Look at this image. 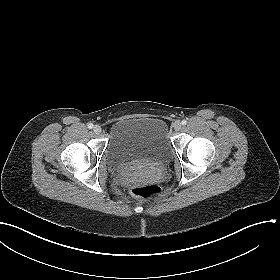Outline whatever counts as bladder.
<instances>
[{"label": "bladder", "mask_w": 280, "mask_h": 280, "mask_svg": "<svg viewBox=\"0 0 280 280\" xmlns=\"http://www.w3.org/2000/svg\"><path fill=\"white\" fill-rule=\"evenodd\" d=\"M170 153L167 124L160 118L120 119L110 128L106 150L110 165L123 166L143 159L162 162Z\"/></svg>", "instance_id": "1"}]
</instances>
